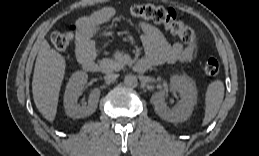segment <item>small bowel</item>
Here are the masks:
<instances>
[{
  "label": "small bowel",
  "instance_id": "small-bowel-1",
  "mask_svg": "<svg viewBox=\"0 0 259 156\" xmlns=\"http://www.w3.org/2000/svg\"><path fill=\"white\" fill-rule=\"evenodd\" d=\"M115 12L112 6H104L78 20L76 45L81 57L95 54V37L101 33L102 25L114 17ZM140 29L145 50V56L141 61L148 67L177 61L190 62L197 57L199 46L196 41L187 45L181 42L170 44L162 32L153 25L141 22Z\"/></svg>",
  "mask_w": 259,
  "mask_h": 156
}]
</instances>
